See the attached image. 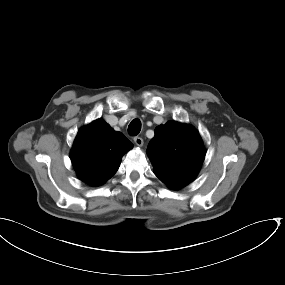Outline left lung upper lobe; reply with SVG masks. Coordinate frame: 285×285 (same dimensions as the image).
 I'll use <instances>...</instances> for the list:
<instances>
[{
  "label": "left lung upper lobe",
  "mask_w": 285,
  "mask_h": 285,
  "mask_svg": "<svg viewBox=\"0 0 285 285\" xmlns=\"http://www.w3.org/2000/svg\"><path fill=\"white\" fill-rule=\"evenodd\" d=\"M205 153L199 133L193 127L176 121L158 126L147 147L154 173L165 184L187 185L193 181Z\"/></svg>",
  "instance_id": "left-lung-upper-lobe-1"
}]
</instances>
